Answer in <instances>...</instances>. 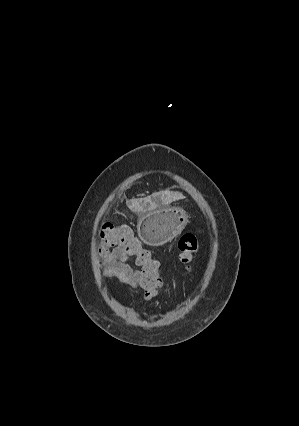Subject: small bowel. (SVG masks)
<instances>
[{"label":"small bowel","instance_id":"c3829d8e","mask_svg":"<svg viewBox=\"0 0 299 426\" xmlns=\"http://www.w3.org/2000/svg\"><path fill=\"white\" fill-rule=\"evenodd\" d=\"M131 256L121 248H114L103 259V275L117 278L132 289H140L142 269L130 263Z\"/></svg>","mask_w":299,"mask_h":426}]
</instances>
